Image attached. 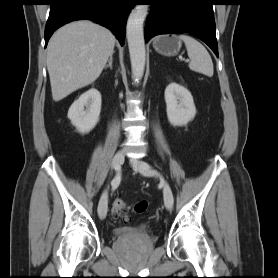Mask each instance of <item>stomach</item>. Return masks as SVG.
I'll use <instances>...</instances> for the list:
<instances>
[{"label":"stomach","mask_w":278,"mask_h":278,"mask_svg":"<svg viewBox=\"0 0 278 278\" xmlns=\"http://www.w3.org/2000/svg\"><path fill=\"white\" fill-rule=\"evenodd\" d=\"M153 47L161 55L174 56L181 48V41L176 35H162L153 41Z\"/></svg>","instance_id":"0dacf381"}]
</instances>
